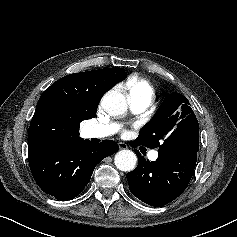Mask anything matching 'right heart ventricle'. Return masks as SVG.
<instances>
[{"label":"right heart ventricle","mask_w":237,"mask_h":237,"mask_svg":"<svg viewBox=\"0 0 237 237\" xmlns=\"http://www.w3.org/2000/svg\"><path fill=\"white\" fill-rule=\"evenodd\" d=\"M127 86L129 89V98L147 97L152 100L154 97V88L151 83L145 79H130Z\"/></svg>","instance_id":"1"}]
</instances>
